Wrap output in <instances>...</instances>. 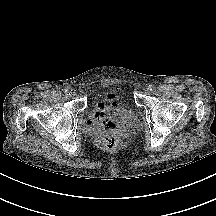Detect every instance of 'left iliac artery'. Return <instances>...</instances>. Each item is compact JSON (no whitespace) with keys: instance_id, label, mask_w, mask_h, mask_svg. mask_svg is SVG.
<instances>
[{"instance_id":"1","label":"left iliac artery","mask_w":216,"mask_h":216,"mask_svg":"<svg viewBox=\"0 0 216 216\" xmlns=\"http://www.w3.org/2000/svg\"><path fill=\"white\" fill-rule=\"evenodd\" d=\"M149 89H150V91H154L155 90L154 85H149Z\"/></svg>"}]
</instances>
